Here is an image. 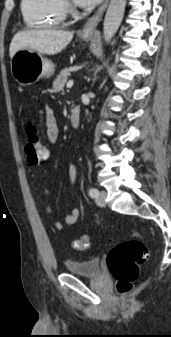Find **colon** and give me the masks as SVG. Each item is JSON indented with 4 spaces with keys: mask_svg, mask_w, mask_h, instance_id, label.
Listing matches in <instances>:
<instances>
[{
    "mask_svg": "<svg viewBox=\"0 0 171 337\" xmlns=\"http://www.w3.org/2000/svg\"><path fill=\"white\" fill-rule=\"evenodd\" d=\"M25 154L31 164H39L48 154V145L36 134L33 124L27 127ZM90 246V237L82 235L73 241V248L86 250ZM149 255L147 247L137 238L129 239L113 247L107 258L110 273L115 278L120 293H128L139 276V265Z\"/></svg>",
    "mask_w": 171,
    "mask_h": 337,
    "instance_id": "5ec220e1",
    "label": "colon"
}]
</instances>
